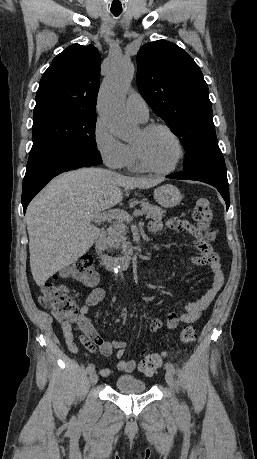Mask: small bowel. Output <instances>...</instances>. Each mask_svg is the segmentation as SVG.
<instances>
[{"label":"small bowel","instance_id":"1","mask_svg":"<svg viewBox=\"0 0 257 459\" xmlns=\"http://www.w3.org/2000/svg\"><path fill=\"white\" fill-rule=\"evenodd\" d=\"M162 227L173 231H184L194 240L198 256L190 258V262L197 266H208L212 274V283L207 292L195 302H188L184 306L181 314L170 312L166 318L167 327L174 329L180 325L191 324L197 321L202 312L205 311L214 300L218 292L224 285V274L221 268L218 254L214 251L210 243L199 237L196 227L187 220L171 218L164 222L152 221L149 224L150 232H157ZM105 298V290L101 287H95L87 296L85 303L81 306L79 313L73 320L62 321V329L68 350L73 354L79 353V347L74 342V330L72 323L75 324V330L79 331V340L90 352L97 350L103 356H110L115 351L116 367L123 372H132L137 366L135 360H124L126 342L121 340L105 341L96 331L95 327L87 317L92 306L97 305ZM163 323L160 319H153L149 324L150 331L154 332L162 328ZM145 352H143L144 354ZM100 375L107 377L110 375L109 368H102Z\"/></svg>","mask_w":257,"mask_h":459}]
</instances>
